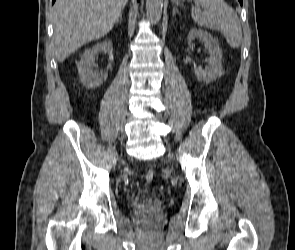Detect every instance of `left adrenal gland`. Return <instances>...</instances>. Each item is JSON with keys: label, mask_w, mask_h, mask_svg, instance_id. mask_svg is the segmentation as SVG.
Instances as JSON below:
<instances>
[{"label": "left adrenal gland", "mask_w": 295, "mask_h": 250, "mask_svg": "<svg viewBox=\"0 0 295 250\" xmlns=\"http://www.w3.org/2000/svg\"><path fill=\"white\" fill-rule=\"evenodd\" d=\"M178 13V10L176 7H173V14H172V17L174 18L175 15Z\"/></svg>", "instance_id": "obj_1"}]
</instances>
